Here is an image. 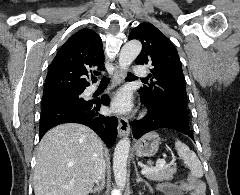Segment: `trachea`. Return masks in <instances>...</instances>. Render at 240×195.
I'll list each match as a JSON object with an SVG mask.
<instances>
[{
	"label": "trachea",
	"instance_id": "1",
	"mask_svg": "<svg viewBox=\"0 0 240 195\" xmlns=\"http://www.w3.org/2000/svg\"><path fill=\"white\" fill-rule=\"evenodd\" d=\"M94 75H100V72H94ZM135 75L133 73L128 72L126 79H135ZM110 82V78L103 76L100 84H108Z\"/></svg>",
	"mask_w": 240,
	"mask_h": 195
}]
</instances>
